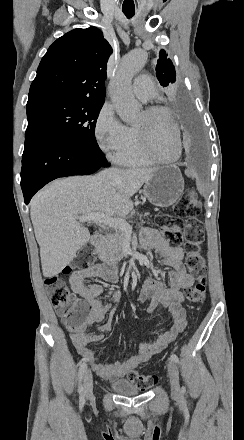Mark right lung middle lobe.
<instances>
[{"label": "right lung middle lobe", "instance_id": "dd1d6c3e", "mask_svg": "<svg viewBox=\"0 0 244 440\" xmlns=\"http://www.w3.org/2000/svg\"><path fill=\"white\" fill-rule=\"evenodd\" d=\"M104 100L57 97L28 99L26 131H49L98 147L95 125Z\"/></svg>", "mask_w": 244, "mask_h": 440}]
</instances>
